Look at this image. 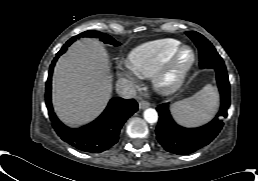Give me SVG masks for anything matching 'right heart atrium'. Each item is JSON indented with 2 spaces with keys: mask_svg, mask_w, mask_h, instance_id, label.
Listing matches in <instances>:
<instances>
[{
  "mask_svg": "<svg viewBox=\"0 0 258 181\" xmlns=\"http://www.w3.org/2000/svg\"><path fill=\"white\" fill-rule=\"evenodd\" d=\"M117 75L120 77V78H123L126 82V84L129 86V87H134L136 86L137 84V80L136 78L134 77V75L132 73H130L129 71H126L125 69L121 68V67H118L117 69Z\"/></svg>",
  "mask_w": 258,
  "mask_h": 181,
  "instance_id": "1",
  "label": "right heart atrium"
}]
</instances>
